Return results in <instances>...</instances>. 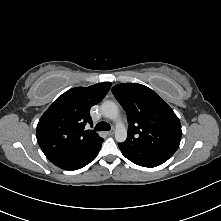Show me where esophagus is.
<instances>
[{"instance_id":"esophagus-1","label":"esophagus","mask_w":221,"mask_h":221,"mask_svg":"<svg viewBox=\"0 0 221 221\" xmlns=\"http://www.w3.org/2000/svg\"><path fill=\"white\" fill-rule=\"evenodd\" d=\"M106 134L109 135V136H111V135L114 134V130H110V131L106 132Z\"/></svg>"}]
</instances>
